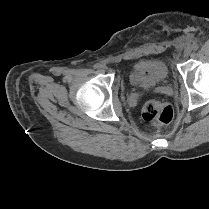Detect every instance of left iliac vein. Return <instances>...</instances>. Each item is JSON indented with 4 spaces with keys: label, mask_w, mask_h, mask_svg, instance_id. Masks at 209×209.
I'll use <instances>...</instances> for the list:
<instances>
[{
    "label": "left iliac vein",
    "mask_w": 209,
    "mask_h": 209,
    "mask_svg": "<svg viewBox=\"0 0 209 209\" xmlns=\"http://www.w3.org/2000/svg\"><path fill=\"white\" fill-rule=\"evenodd\" d=\"M190 54H191V50H190V49H186V50L184 51V56H185V57L190 56Z\"/></svg>",
    "instance_id": "4c4485c4"
}]
</instances>
